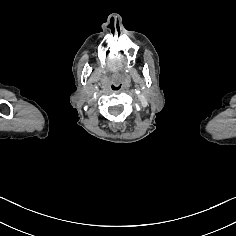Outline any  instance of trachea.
Returning <instances> with one entry per match:
<instances>
[{"label": "trachea", "instance_id": "obj_1", "mask_svg": "<svg viewBox=\"0 0 236 236\" xmlns=\"http://www.w3.org/2000/svg\"><path fill=\"white\" fill-rule=\"evenodd\" d=\"M112 91H113L114 93H119V92L121 91V86H120L119 84H114V85L112 86Z\"/></svg>", "mask_w": 236, "mask_h": 236}]
</instances>
